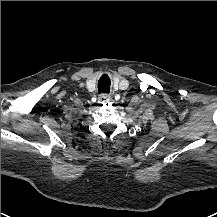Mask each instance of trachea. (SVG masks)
Instances as JSON below:
<instances>
[{"label": "trachea", "instance_id": "trachea-1", "mask_svg": "<svg viewBox=\"0 0 217 217\" xmlns=\"http://www.w3.org/2000/svg\"><path fill=\"white\" fill-rule=\"evenodd\" d=\"M102 79V78H101ZM99 80L98 82V90H99V93H109L110 91V85H107L105 83V81L103 80Z\"/></svg>", "mask_w": 217, "mask_h": 217}]
</instances>
